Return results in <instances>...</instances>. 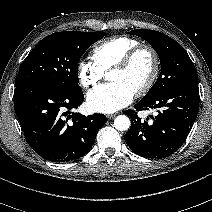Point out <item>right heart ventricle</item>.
Wrapping results in <instances>:
<instances>
[{"instance_id": "right-heart-ventricle-1", "label": "right heart ventricle", "mask_w": 212, "mask_h": 212, "mask_svg": "<svg viewBox=\"0 0 212 212\" xmlns=\"http://www.w3.org/2000/svg\"><path fill=\"white\" fill-rule=\"evenodd\" d=\"M138 45L139 42L131 37H112L96 45L92 50V57L100 69L106 72Z\"/></svg>"}]
</instances>
